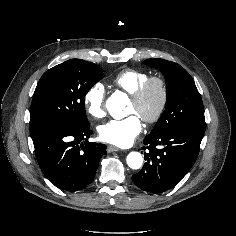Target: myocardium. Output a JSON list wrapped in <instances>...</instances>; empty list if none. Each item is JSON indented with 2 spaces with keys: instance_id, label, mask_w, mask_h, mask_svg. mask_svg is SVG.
<instances>
[{
  "instance_id": "1",
  "label": "myocardium",
  "mask_w": 236,
  "mask_h": 236,
  "mask_svg": "<svg viewBox=\"0 0 236 236\" xmlns=\"http://www.w3.org/2000/svg\"><path fill=\"white\" fill-rule=\"evenodd\" d=\"M156 86L159 90L160 99L156 110L149 115H140L144 122L152 124L157 122L163 115L168 102V87L166 81L159 76H150L132 95L131 100L140 106L152 87Z\"/></svg>"
}]
</instances>
